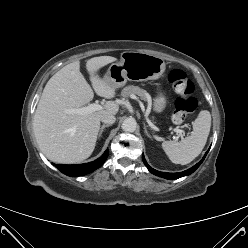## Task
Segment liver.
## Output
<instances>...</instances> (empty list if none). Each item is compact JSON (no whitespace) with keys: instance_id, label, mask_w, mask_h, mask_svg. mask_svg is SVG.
Listing matches in <instances>:
<instances>
[{"instance_id":"liver-1","label":"liver","mask_w":248,"mask_h":248,"mask_svg":"<svg viewBox=\"0 0 248 248\" xmlns=\"http://www.w3.org/2000/svg\"><path fill=\"white\" fill-rule=\"evenodd\" d=\"M116 60L112 56H100L87 61L86 69L98 96L115 97L116 88L100 78L97 72ZM93 97L92 88L80 72L79 61L64 66L47 82L35 111L33 129L41 151L49 160L72 164L92 154L101 118L115 115L119 110L117 104L107 102L102 110L86 115L67 112L84 106Z\"/></svg>"}]
</instances>
